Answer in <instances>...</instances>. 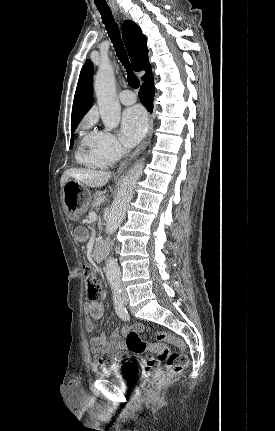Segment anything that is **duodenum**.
Segmentation results:
<instances>
[{"label":"duodenum","instance_id":"obj_1","mask_svg":"<svg viewBox=\"0 0 275 431\" xmlns=\"http://www.w3.org/2000/svg\"><path fill=\"white\" fill-rule=\"evenodd\" d=\"M107 250H108L107 243L102 239H98L93 249L94 260L97 262H101L104 259L107 253Z\"/></svg>","mask_w":275,"mask_h":431}]
</instances>
